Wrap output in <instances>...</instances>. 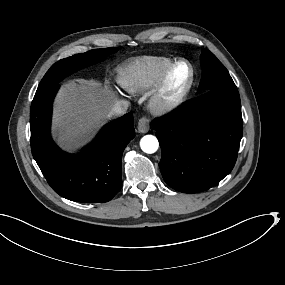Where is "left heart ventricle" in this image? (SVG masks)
<instances>
[{
    "label": "left heart ventricle",
    "mask_w": 285,
    "mask_h": 285,
    "mask_svg": "<svg viewBox=\"0 0 285 285\" xmlns=\"http://www.w3.org/2000/svg\"><path fill=\"white\" fill-rule=\"evenodd\" d=\"M179 87H180V81L174 79L168 88L167 97H173L178 92Z\"/></svg>",
    "instance_id": "b2bd125f"
}]
</instances>
